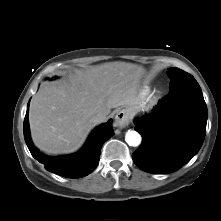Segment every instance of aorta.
Returning <instances> with one entry per match:
<instances>
[{
    "mask_svg": "<svg viewBox=\"0 0 221 221\" xmlns=\"http://www.w3.org/2000/svg\"><path fill=\"white\" fill-rule=\"evenodd\" d=\"M125 140L128 145L136 147L141 143V136L138 132L129 130L126 133Z\"/></svg>",
    "mask_w": 221,
    "mask_h": 221,
    "instance_id": "762f6f07",
    "label": "aorta"
}]
</instances>
